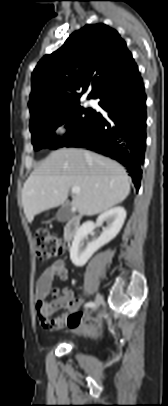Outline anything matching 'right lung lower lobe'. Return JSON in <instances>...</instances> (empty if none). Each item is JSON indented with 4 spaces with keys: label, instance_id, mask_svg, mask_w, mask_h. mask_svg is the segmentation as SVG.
<instances>
[{
    "label": "right lung lower lobe",
    "instance_id": "98d812e1",
    "mask_svg": "<svg viewBox=\"0 0 168 406\" xmlns=\"http://www.w3.org/2000/svg\"><path fill=\"white\" fill-rule=\"evenodd\" d=\"M96 98L107 112H95L90 123L65 147L87 148L127 167L134 185L140 187L146 147V95L140 73L105 89Z\"/></svg>",
    "mask_w": 168,
    "mask_h": 406
}]
</instances>
